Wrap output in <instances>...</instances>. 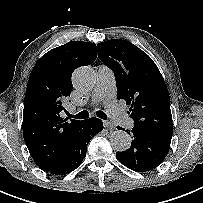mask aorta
Listing matches in <instances>:
<instances>
[{
    "instance_id": "1",
    "label": "aorta",
    "mask_w": 203,
    "mask_h": 203,
    "mask_svg": "<svg viewBox=\"0 0 203 203\" xmlns=\"http://www.w3.org/2000/svg\"><path fill=\"white\" fill-rule=\"evenodd\" d=\"M96 81L94 71L88 67H80L73 74V84L79 92L90 91ZM110 144L116 151H126L131 146L130 135L123 130H116L110 136Z\"/></svg>"
}]
</instances>
